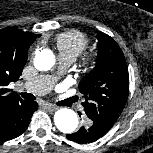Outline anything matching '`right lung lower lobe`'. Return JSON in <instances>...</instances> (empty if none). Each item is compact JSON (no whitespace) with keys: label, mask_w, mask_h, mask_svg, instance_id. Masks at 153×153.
Segmentation results:
<instances>
[{"label":"right lung lower lobe","mask_w":153,"mask_h":153,"mask_svg":"<svg viewBox=\"0 0 153 153\" xmlns=\"http://www.w3.org/2000/svg\"><path fill=\"white\" fill-rule=\"evenodd\" d=\"M38 109L36 102L22 101L8 108L0 116V141L20 136L28 127L33 113Z\"/></svg>","instance_id":"right-lung-lower-lobe-1"}]
</instances>
